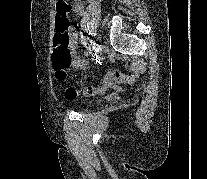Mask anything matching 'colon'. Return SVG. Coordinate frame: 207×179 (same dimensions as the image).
<instances>
[{
    "instance_id": "1",
    "label": "colon",
    "mask_w": 207,
    "mask_h": 179,
    "mask_svg": "<svg viewBox=\"0 0 207 179\" xmlns=\"http://www.w3.org/2000/svg\"><path fill=\"white\" fill-rule=\"evenodd\" d=\"M72 10L71 4L65 0H61L57 5V14L55 18V37H54V52L52 63L55 72V77L63 81L66 79L71 65V51L68 47L70 35L69 14ZM134 81L133 74H123L120 71H108L104 75L103 82L100 86H88L82 90L69 87L65 90V97L68 100H74L79 95H96L105 92L107 89L118 84H129Z\"/></svg>"
}]
</instances>
